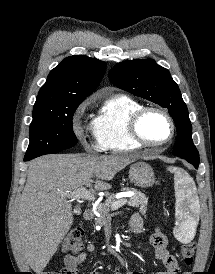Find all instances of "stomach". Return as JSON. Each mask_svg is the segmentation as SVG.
<instances>
[{"label": "stomach", "instance_id": "stomach-1", "mask_svg": "<svg viewBox=\"0 0 215 274\" xmlns=\"http://www.w3.org/2000/svg\"><path fill=\"white\" fill-rule=\"evenodd\" d=\"M130 181L141 188H148L155 183V176L152 167L145 162H136L129 169Z\"/></svg>", "mask_w": 215, "mask_h": 274}]
</instances>
